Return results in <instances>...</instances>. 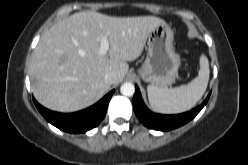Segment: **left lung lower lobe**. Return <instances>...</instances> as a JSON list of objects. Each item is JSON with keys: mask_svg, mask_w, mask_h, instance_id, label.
Segmentation results:
<instances>
[{"mask_svg": "<svg viewBox=\"0 0 248 165\" xmlns=\"http://www.w3.org/2000/svg\"><path fill=\"white\" fill-rule=\"evenodd\" d=\"M210 94L204 100V102L198 107L192 109L189 112L178 114V115H161L155 114L151 112L146 105L144 104L140 90L138 86H136V92L133 97V108L134 111L139 118V120L148 128L160 130V131H168L179 126H182L192 120L200 110L205 106Z\"/></svg>", "mask_w": 248, "mask_h": 165, "instance_id": "1", "label": "left lung lower lobe"}]
</instances>
